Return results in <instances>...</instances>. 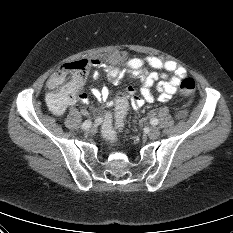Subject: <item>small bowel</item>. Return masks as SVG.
<instances>
[{"mask_svg":"<svg viewBox=\"0 0 233 233\" xmlns=\"http://www.w3.org/2000/svg\"><path fill=\"white\" fill-rule=\"evenodd\" d=\"M91 64L105 71L108 79L114 85L118 84L125 76L138 78L141 81L140 95L131 86L124 94L134 109H139L146 103L155 101L154 88L157 91L159 101H168L187 74L186 69L174 61L163 60L156 56L127 59L121 52L110 53L102 59L94 58L91 60ZM147 66L151 67L153 71H146L145 67ZM52 81L53 76L51 75L46 82V87L50 90L46 95V103L54 115H63L77 102L83 105L89 103V97L83 91L85 80L73 88L57 87ZM90 90L99 101H106L109 97V90L105 86L91 87ZM83 112L87 113L86 110Z\"/></svg>","mask_w":233,"mask_h":233,"instance_id":"1","label":"small bowel"}]
</instances>
